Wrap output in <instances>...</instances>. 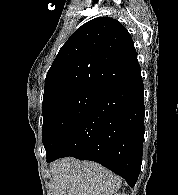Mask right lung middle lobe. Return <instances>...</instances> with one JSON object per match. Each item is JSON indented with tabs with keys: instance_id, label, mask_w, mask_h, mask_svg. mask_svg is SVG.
<instances>
[{
	"instance_id": "obj_1",
	"label": "right lung middle lobe",
	"mask_w": 178,
	"mask_h": 195,
	"mask_svg": "<svg viewBox=\"0 0 178 195\" xmlns=\"http://www.w3.org/2000/svg\"><path fill=\"white\" fill-rule=\"evenodd\" d=\"M99 91L81 89L55 95L42 103L43 144L51 154L62 139L78 124Z\"/></svg>"
}]
</instances>
